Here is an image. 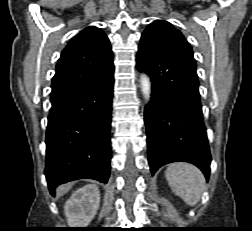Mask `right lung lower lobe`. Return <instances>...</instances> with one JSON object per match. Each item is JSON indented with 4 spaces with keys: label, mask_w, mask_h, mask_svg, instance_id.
Segmentation results:
<instances>
[{
    "label": "right lung lower lobe",
    "mask_w": 252,
    "mask_h": 231,
    "mask_svg": "<svg viewBox=\"0 0 252 231\" xmlns=\"http://www.w3.org/2000/svg\"><path fill=\"white\" fill-rule=\"evenodd\" d=\"M113 85L112 73L51 101L45 140L51 194L58 184L81 178L107 183Z\"/></svg>",
    "instance_id": "98d812e1"
}]
</instances>
